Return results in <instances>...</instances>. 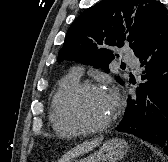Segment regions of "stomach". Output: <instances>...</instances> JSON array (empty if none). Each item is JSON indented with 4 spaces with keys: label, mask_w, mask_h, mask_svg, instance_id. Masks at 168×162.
<instances>
[{
    "label": "stomach",
    "mask_w": 168,
    "mask_h": 162,
    "mask_svg": "<svg viewBox=\"0 0 168 162\" xmlns=\"http://www.w3.org/2000/svg\"><path fill=\"white\" fill-rule=\"evenodd\" d=\"M128 148L125 140L114 138L106 141L97 152L83 159H71L69 162H116L124 157Z\"/></svg>",
    "instance_id": "obj_1"
}]
</instances>
